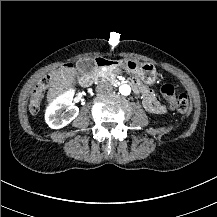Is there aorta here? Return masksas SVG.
Instances as JSON below:
<instances>
[{"instance_id":"762f6f07","label":"aorta","mask_w":217,"mask_h":217,"mask_svg":"<svg viewBox=\"0 0 217 217\" xmlns=\"http://www.w3.org/2000/svg\"><path fill=\"white\" fill-rule=\"evenodd\" d=\"M119 92L124 96H128L131 94V87L127 84H123L119 87Z\"/></svg>"}]
</instances>
